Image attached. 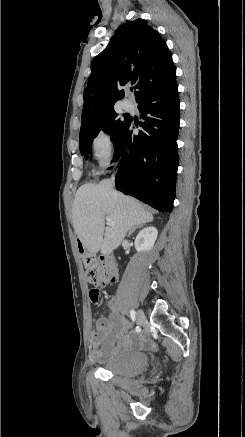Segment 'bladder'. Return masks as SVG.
I'll use <instances>...</instances> for the list:
<instances>
[{
  "label": "bladder",
  "instance_id": "1",
  "mask_svg": "<svg viewBox=\"0 0 245 437\" xmlns=\"http://www.w3.org/2000/svg\"><path fill=\"white\" fill-rule=\"evenodd\" d=\"M146 353L141 351L123 350L103 364V368L113 375L133 377L142 372L147 366Z\"/></svg>",
  "mask_w": 245,
  "mask_h": 437
}]
</instances>
